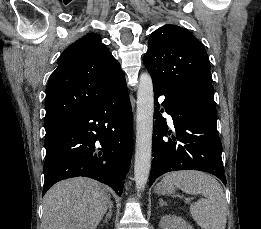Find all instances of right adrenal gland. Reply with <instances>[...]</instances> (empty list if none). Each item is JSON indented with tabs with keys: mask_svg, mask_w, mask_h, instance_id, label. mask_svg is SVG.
<instances>
[{
	"mask_svg": "<svg viewBox=\"0 0 261 229\" xmlns=\"http://www.w3.org/2000/svg\"><path fill=\"white\" fill-rule=\"evenodd\" d=\"M112 207H113V203H110V205L108 207L109 211H108L103 223H107L108 219H111V217H112Z\"/></svg>",
	"mask_w": 261,
	"mask_h": 229,
	"instance_id": "2a0ac1e0",
	"label": "right adrenal gland"
}]
</instances>
